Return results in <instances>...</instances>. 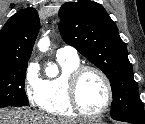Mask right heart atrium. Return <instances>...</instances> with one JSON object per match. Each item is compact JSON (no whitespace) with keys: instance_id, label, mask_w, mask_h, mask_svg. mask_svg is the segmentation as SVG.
Instances as JSON below:
<instances>
[{"instance_id":"right-heart-atrium-1","label":"right heart atrium","mask_w":145,"mask_h":124,"mask_svg":"<svg viewBox=\"0 0 145 124\" xmlns=\"http://www.w3.org/2000/svg\"><path fill=\"white\" fill-rule=\"evenodd\" d=\"M43 81L39 76V65L32 62L28 65L25 76V92L31 102L37 103Z\"/></svg>"}]
</instances>
